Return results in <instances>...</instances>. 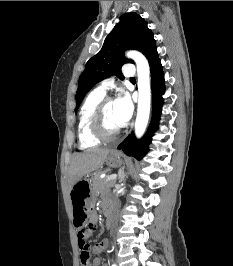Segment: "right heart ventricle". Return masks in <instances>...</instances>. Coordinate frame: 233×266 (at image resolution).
<instances>
[{"mask_svg":"<svg viewBox=\"0 0 233 266\" xmlns=\"http://www.w3.org/2000/svg\"><path fill=\"white\" fill-rule=\"evenodd\" d=\"M105 97L98 89L92 90L84 99L78 116L77 133L81 148H93L100 144V140L96 139L90 129L91 118L97 104Z\"/></svg>","mask_w":233,"mask_h":266,"instance_id":"e07e8e85","label":"right heart ventricle"}]
</instances>
